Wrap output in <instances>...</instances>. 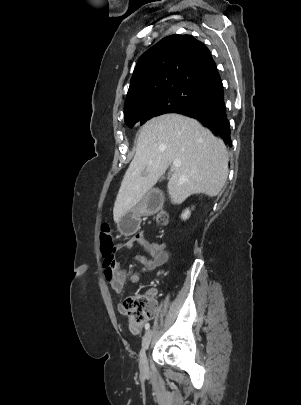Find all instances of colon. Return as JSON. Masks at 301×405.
<instances>
[{
  "label": "colon",
  "instance_id": "colon-1",
  "mask_svg": "<svg viewBox=\"0 0 301 405\" xmlns=\"http://www.w3.org/2000/svg\"><path fill=\"white\" fill-rule=\"evenodd\" d=\"M168 221V216L165 212L156 213L154 222L157 225H165ZM101 252L104 257V265L111 266L113 261L114 244L110 228L107 224H103L100 232ZM125 313L129 318V326L132 332H139L143 323L152 318L156 311L154 300L148 297H128L123 304Z\"/></svg>",
  "mask_w": 301,
  "mask_h": 405
}]
</instances>
